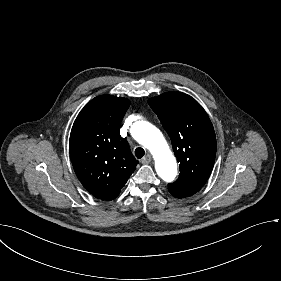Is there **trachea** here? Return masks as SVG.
I'll use <instances>...</instances> for the list:
<instances>
[{
  "label": "trachea",
  "mask_w": 281,
  "mask_h": 281,
  "mask_svg": "<svg viewBox=\"0 0 281 281\" xmlns=\"http://www.w3.org/2000/svg\"><path fill=\"white\" fill-rule=\"evenodd\" d=\"M144 155H145V151H144L143 148L138 147V148L135 149V156H136L138 159H141Z\"/></svg>",
  "instance_id": "3493384b"
}]
</instances>
